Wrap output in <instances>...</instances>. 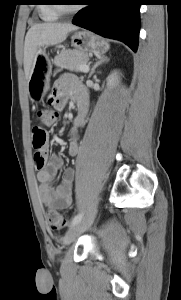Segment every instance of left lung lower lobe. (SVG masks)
<instances>
[{
  "label": "left lung lower lobe",
  "instance_id": "1",
  "mask_svg": "<svg viewBox=\"0 0 181 300\" xmlns=\"http://www.w3.org/2000/svg\"><path fill=\"white\" fill-rule=\"evenodd\" d=\"M88 6L74 17L73 24L101 36L127 44L134 52L138 46L141 0H87Z\"/></svg>",
  "mask_w": 181,
  "mask_h": 300
}]
</instances>
